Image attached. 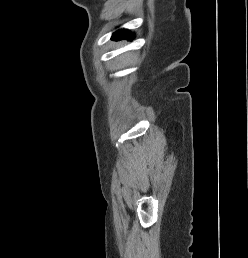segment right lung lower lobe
<instances>
[{"label":"right lung lower lobe","mask_w":248,"mask_h":258,"mask_svg":"<svg viewBox=\"0 0 248 258\" xmlns=\"http://www.w3.org/2000/svg\"><path fill=\"white\" fill-rule=\"evenodd\" d=\"M134 35H132L133 37ZM131 39V32H129L128 30H118L114 33L112 39L114 40H121V39Z\"/></svg>","instance_id":"obj_1"}]
</instances>
